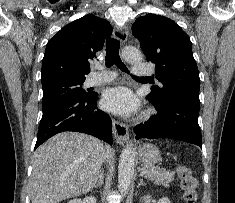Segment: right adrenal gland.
Segmentation results:
<instances>
[{"label":"right adrenal gland","instance_id":"1","mask_svg":"<svg viewBox=\"0 0 235 203\" xmlns=\"http://www.w3.org/2000/svg\"><path fill=\"white\" fill-rule=\"evenodd\" d=\"M104 184V175L103 172L99 175V180L97 184L94 186V188L101 187Z\"/></svg>","mask_w":235,"mask_h":203}]
</instances>
